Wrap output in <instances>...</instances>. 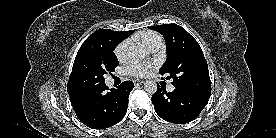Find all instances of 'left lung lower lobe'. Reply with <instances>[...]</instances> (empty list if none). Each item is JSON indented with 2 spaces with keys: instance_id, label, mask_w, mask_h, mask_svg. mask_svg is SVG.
Instances as JSON below:
<instances>
[{
  "instance_id": "left-lung-lower-lobe-1",
  "label": "left lung lower lobe",
  "mask_w": 276,
  "mask_h": 138,
  "mask_svg": "<svg viewBox=\"0 0 276 138\" xmlns=\"http://www.w3.org/2000/svg\"><path fill=\"white\" fill-rule=\"evenodd\" d=\"M209 98L210 93H197L180 88L166 92L164 87H158L152 96V103L162 119L183 124L194 120L207 105Z\"/></svg>"
}]
</instances>
